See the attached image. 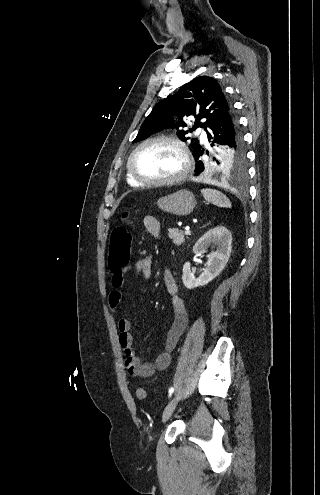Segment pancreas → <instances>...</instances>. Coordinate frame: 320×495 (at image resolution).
<instances>
[{
  "instance_id": "cf45deb5",
  "label": "pancreas",
  "mask_w": 320,
  "mask_h": 495,
  "mask_svg": "<svg viewBox=\"0 0 320 495\" xmlns=\"http://www.w3.org/2000/svg\"><path fill=\"white\" fill-rule=\"evenodd\" d=\"M168 231H169L168 236H169L170 239L173 240V243L175 245H181L182 243L185 242L184 234L178 228H171Z\"/></svg>"
}]
</instances>
